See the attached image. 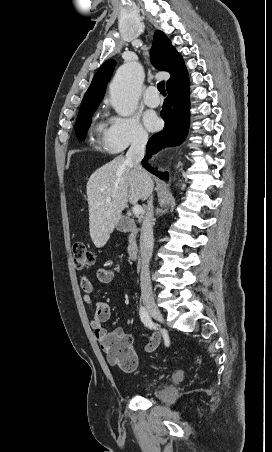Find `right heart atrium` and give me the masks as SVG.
Returning a JSON list of instances; mask_svg holds the SVG:
<instances>
[{
  "mask_svg": "<svg viewBox=\"0 0 272 452\" xmlns=\"http://www.w3.org/2000/svg\"><path fill=\"white\" fill-rule=\"evenodd\" d=\"M147 140L148 134L137 117L114 116L109 119L102 143L106 150L117 153L129 146H142Z\"/></svg>",
  "mask_w": 272,
  "mask_h": 452,
  "instance_id": "right-heart-atrium-1",
  "label": "right heart atrium"
}]
</instances>
